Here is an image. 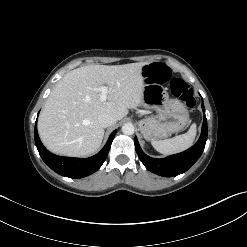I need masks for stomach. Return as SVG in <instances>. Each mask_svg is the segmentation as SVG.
Returning <instances> with one entry per match:
<instances>
[{
	"label": "stomach",
	"mask_w": 247,
	"mask_h": 247,
	"mask_svg": "<svg viewBox=\"0 0 247 247\" xmlns=\"http://www.w3.org/2000/svg\"><path fill=\"white\" fill-rule=\"evenodd\" d=\"M142 104L158 113L139 122L140 131L147 140L165 138L188 124L186 105L179 99L170 98L167 89L160 84L144 85Z\"/></svg>",
	"instance_id": "0dacf381"
}]
</instances>
